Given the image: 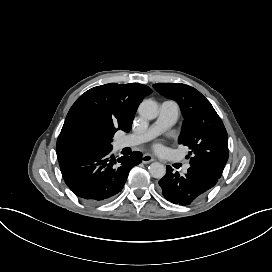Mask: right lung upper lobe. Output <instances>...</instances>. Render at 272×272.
<instances>
[{
  "mask_svg": "<svg viewBox=\"0 0 272 272\" xmlns=\"http://www.w3.org/2000/svg\"><path fill=\"white\" fill-rule=\"evenodd\" d=\"M151 93L148 86L138 83H110L86 91L67 114L56 144L58 160L111 149L115 132L130 131L139 104Z\"/></svg>",
  "mask_w": 272,
  "mask_h": 272,
  "instance_id": "cb5924a9",
  "label": "right lung upper lobe"
}]
</instances>
